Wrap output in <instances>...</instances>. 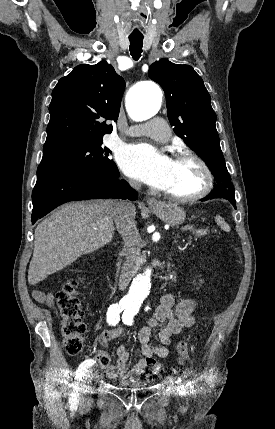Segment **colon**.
Wrapping results in <instances>:
<instances>
[{"label": "colon", "mask_w": 275, "mask_h": 429, "mask_svg": "<svg viewBox=\"0 0 275 429\" xmlns=\"http://www.w3.org/2000/svg\"><path fill=\"white\" fill-rule=\"evenodd\" d=\"M81 279L69 280L57 293V305L61 315V334L65 351L72 356L79 355L83 349L85 324L82 321V309L78 299V290ZM199 338V335H197ZM180 359L187 358V343L180 342L177 348ZM100 366H109L110 358L107 352L100 351L97 354ZM159 364L150 359L147 362L146 372L156 374L159 371Z\"/></svg>", "instance_id": "1"}]
</instances>
